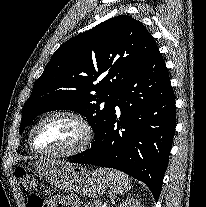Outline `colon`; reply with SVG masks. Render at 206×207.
<instances>
[{"instance_id": "colon-1", "label": "colon", "mask_w": 206, "mask_h": 207, "mask_svg": "<svg viewBox=\"0 0 206 207\" xmlns=\"http://www.w3.org/2000/svg\"><path fill=\"white\" fill-rule=\"evenodd\" d=\"M15 176L22 191L29 196V207H47L46 201L35 194L36 179L29 171L24 168H17Z\"/></svg>"}]
</instances>
